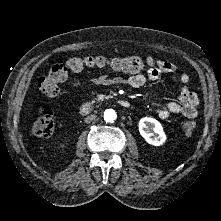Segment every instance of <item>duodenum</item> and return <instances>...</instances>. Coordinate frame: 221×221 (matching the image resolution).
I'll return each mask as SVG.
<instances>
[{
	"mask_svg": "<svg viewBox=\"0 0 221 221\" xmlns=\"http://www.w3.org/2000/svg\"><path fill=\"white\" fill-rule=\"evenodd\" d=\"M117 103L123 108H129L130 102L126 99L119 98L117 99ZM94 105L91 102H86L79 108V114L88 115L93 112Z\"/></svg>",
	"mask_w": 221,
	"mask_h": 221,
	"instance_id": "410a0bca",
	"label": "duodenum"
}]
</instances>
